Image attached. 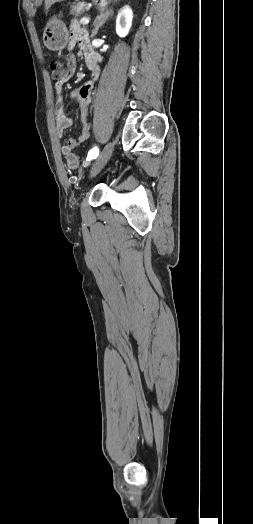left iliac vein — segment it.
Wrapping results in <instances>:
<instances>
[{
    "instance_id": "4c4485c4",
    "label": "left iliac vein",
    "mask_w": 253,
    "mask_h": 524,
    "mask_svg": "<svg viewBox=\"0 0 253 524\" xmlns=\"http://www.w3.org/2000/svg\"><path fill=\"white\" fill-rule=\"evenodd\" d=\"M113 150H114V143L109 142L105 145V147L100 152L98 158L96 159L91 169L92 177L96 176L100 172V170L105 166V164L111 157Z\"/></svg>"
}]
</instances>
